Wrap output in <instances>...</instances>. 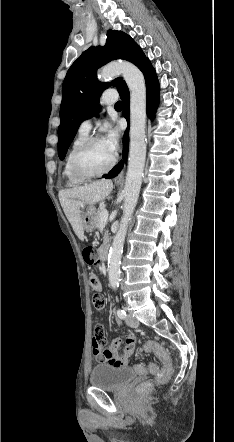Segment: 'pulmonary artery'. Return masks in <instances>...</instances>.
<instances>
[{
    "label": "pulmonary artery",
    "mask_w": 234,
    "mask_h": 442,
    "mask_svg": "<svg viewBox=\"0 0 234 442\" xmlns=\"http://www.w3.org/2000/svg\"><path fill=\"white\" fill-rule=\"evenodd\" d=\"M117 101V95L114 92H106L101 98V104L110 105ZM92 128L91 119H84L79 125V131L89 133Z\"/></svg>",
    "instance_id": "obj_1"
}]
</instances>
